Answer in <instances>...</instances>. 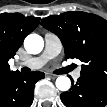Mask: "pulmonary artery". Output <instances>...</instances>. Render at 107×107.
<instances>
[{
    "label": "pulmonary artery",
    "instance_id": "1",
    "mask_svg": "<svg viewBox=\"0 0 107 107\" xmlns=\"http://www.w3.org/2000/svg\"><path fill=\"white\" fill-rule=\"evenodd\" d=\"M44 40L45 47L43 53L38 57L28 59L22 63L23 65L32 69H38L60 53L62 48L61 41L55 34L47 32L44 36ZM73 76L78 78L80 76V71H75Z\"/></svg>",
    "mask_w": 107,
    "mask_h": 107
}]
</instances>
